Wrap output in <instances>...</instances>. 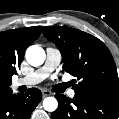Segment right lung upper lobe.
I'll list each match as a JSON object with an SVG mask.
<instances>
[{
  "label": "right lung upper lobe",
  "instance_id": "obj_1",
  "mask_svg": "<svg viewBox=\"0 0 119 119\" xmlns=\"http://www.w3.org/2000/svg\"><path fill=\"white\" fill-rule=\"evenodd\" d=\"M40 33V26L0 32V91L10 88L11 78L17 74L25 50Z\"/></svg>",
  "mask_w": 119,
  "mask_h": 119
}]
</instances>
